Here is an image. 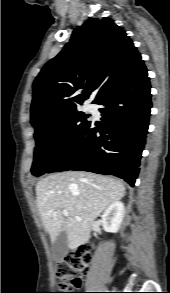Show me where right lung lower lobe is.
I'll return each mask as SVG.
<instances>
[{
	"label": "right lung lower lobe",
	"mask_w": 170,
	"mask_h": 293,
	"mask_svg": "<svg viewBox=\"0 0 170 293\" xmlns=\"http://www.w3.org/2000/svg\"><path fill=\"white\" fill-rule=\"evenodd\" d=\"M150 88L145 67L107 89L95 102L103 105L102 122H90L47 173L89 171L117 176L133 186L148 132Z\"/></svg>",
	"instance_id": "right-lung-lower-lobe-1"
}]
</instances>
